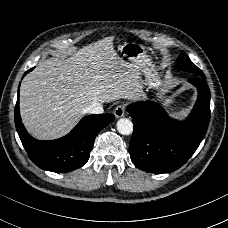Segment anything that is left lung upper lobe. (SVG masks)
Instances as JSON below:
<instances>
[{
    "label": "left lung upper lobe",
    "instance_id": "left-lung-upper-lobe-1",
    "mask_svg": "<svg viewBox=\"0 0 228 228\" xmlns=\"http://www.w3.org/2000/svg\"><path fill=\"white\" fill-rule=\"evenodd\" d=\"M175 67L179 70L193 73L196 77H205L203 72L192 63V61L185 53L179 55Z\"/></svg>",
    "mask_w": 228,
    "mask_h": 228
}]
</instances>
